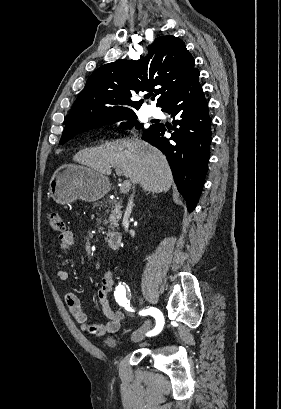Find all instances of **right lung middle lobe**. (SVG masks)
Masks as SVG:
<instances>
[{"label": "right lung middle lobe", "mask_w": 281, "mask_h": 409, "mask_svg": "<svg viewBox=\"0 0 281 409\" xmlns=\"http://www.w3.org/2000/svg\"><path fill=\"white\" fill-rule=\"evenodd\" d=\"M137 116L136 114H134L132 111H128V112H123L111 117H108L106 119L97 121L95 123L89 124L87 126H83V127H70V128H65L61 137V140L59 142V144H63L66 141L70 140L72 137H74L75 135L83 132V131H87L89 129L98 127V126H103L106 124H111L114 123L116 121H120V120H134L136 119Z\"/></svg>", "instance_id": "dd1d6c3e"}]
</instances>
